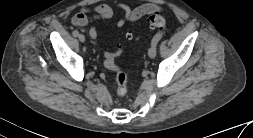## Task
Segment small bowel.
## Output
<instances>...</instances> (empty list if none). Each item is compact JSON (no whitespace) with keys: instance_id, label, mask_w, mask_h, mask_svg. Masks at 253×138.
<instances>
[{"instance_id":"small-bowel-1","label":"small bowel","mask_w":253,"mask_h":138,"mask_svg":"<svg viewBox=\"0 0 253 138\" xmlns=\"http://www.w3.org/2000/svg\"><path fill=\"white\" fill-rule=\"evenodd\" d=\"M117 7L123 12V16L116 23L117 28H121L127 23L136 22L144 16L163 11L161 6L153 3H145L135 8H131L124 3H119ZM112 16L113 9L107 4H99L94 7H83L73 16L72 24L86 31L90 38L96 39L99 36L97 27L92 26L86 29L87 25L99 19H109Z\"/></svg>"}]
</instances>
